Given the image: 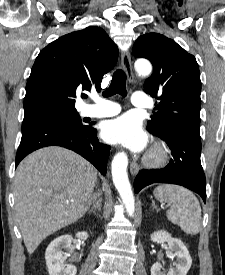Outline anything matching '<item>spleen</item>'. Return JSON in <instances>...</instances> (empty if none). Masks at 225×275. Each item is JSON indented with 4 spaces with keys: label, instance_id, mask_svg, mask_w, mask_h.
<instances>
[{
    "label": "spleen",
    "instance_id": "spleen-1",
    "mask_svg": "<svg viewBox=\"0 0 225 275\" xmlns=\"http://www.w3.org/2000/svg\"><path fill=\"white\" fill-rule=\"evenodd\" d=\"M154 196L167 204V218L178 225L186 234L195 235L201 227V207L198 199L188 189L172 185H160L154 190Z\"/></svg>",
    "mask_w": 225,
    "mask_h": 275
}]
</instances>
